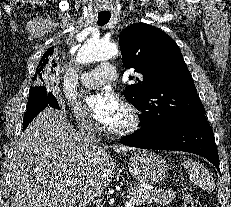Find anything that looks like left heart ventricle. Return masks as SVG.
Returning a JSON list of instances; mask_svg holds the SVG:
<instances>
[{"label": "left heart ventricle", "mask_w": 231, "mask_h": 207, "mask_svg": "<svg viewBox=\"0 0 231 207\" xmlns=\"http://www.w3.org/2000/svg\"><path fill=\"white\" fill-rule=\"evenodd\" d=\"M128 121H129L128 114L123 108L121 114L107 127L112 128V129H117V128L125 126L128 123Z\"/></svg>", "instance_id": "1"}]
</instances>
